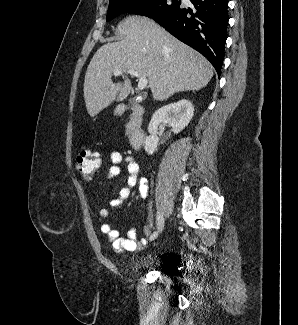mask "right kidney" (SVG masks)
Returning <instances> with one entry per match:
<instances>
[{
	"instance_id": "obj_1",
	"label": "right kidney",
	"mask_w": 298,
	"mask_h": 325,
	"mask_svg": "<svg viewBox=\"0 0 298 325\" xmlns=\"http://www.w3.org/2000/svg\"><path fill=\"white\" fill-rule=\"evenodd\" d=\"M194 114V106L187 98H181L177 102H170L155 110L148 124L149 136H146L144 148L147 154H153L157 150L159 136V124H170L174 134L183 130L189 124Z\"/></svg>"
}]
</instances>
